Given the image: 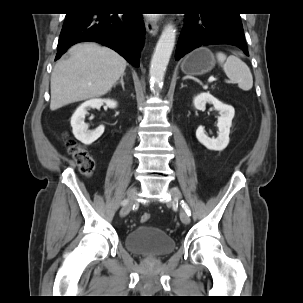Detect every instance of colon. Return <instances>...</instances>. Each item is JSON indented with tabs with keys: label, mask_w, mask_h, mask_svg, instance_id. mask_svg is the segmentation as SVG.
Returning <instances> with one entry per match:
<instances>
[{
	"label": "colon",
	"mask_w": 303,
	"mask_h": 303,
	"mask_svg": "<svg viewBox=\"0 0 303 303\" xmlns=\"http://www.w3.org/2000/svg\"><path fill=\"white\" fill-rule=\"evenodd\" d=\"M69 150L78 163L81 172L86 175L93 174L95 171L96 162L95 159L86 151V149L80 145L71 143ZM150 218L151 215L149 213H143L140 216V222L146 223L150 220Z\"/></svg>",
	"instance_id": "colon-1"
}]
</instances>
